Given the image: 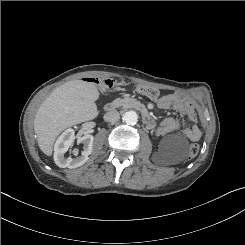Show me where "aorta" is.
<instances>
[{"label":"aorta","mask_w":245,"mask_h":245,"mask_svg":"<svg viewBox=\"0 0 245 245\" xmlns=\"http://www.w3.org/2000/svg\"><path fill=\"white\" fill-rule=\"evenodd\" d=\"M123 120L127 123V124H136L138 121V115L135 111L131 110V111H127L123 114Z\"/></svg>","instance_id":"obj_1"}]
</instances>
